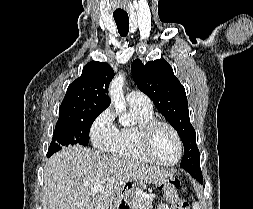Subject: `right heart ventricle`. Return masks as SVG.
I'll use <instances>...</instances> for the list:
<instances>
[{"instance_id":"e07e8e85","label":"right heart ventricle","mask_w":253,"mask_h":209,"mask_svg":"<svg viewBox=\"0 0 253 209\" xmlns=\"http://www.w3.org/2000/svg\"><path fill=\"white\" fill-rule=\"evenodd\" d=\"M129 104L137 122L134 125L124 126L119 130V138L112 151L119 158L135 162H147L149 160L144 157L139 147L138 126L145 121L155 118L154 111L152 105Z\"/></svg>"}]
</instances>
